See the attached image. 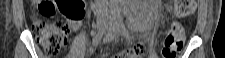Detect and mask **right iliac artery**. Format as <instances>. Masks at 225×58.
<instances>
[{"label": "right iliac artery", "instance_id": "right-iliac-artery-1", "mask_svg": "<svg viewBox=\"0 0 225 58\" xmlns=\"http://www.w3.org/2000/svg\"><path fill=\"white\" fill-rule=\"evenodd\" d=\"M102 36H103V32L94 36V38L92 40L91 52L93 51V48L96 47L100 43Z\"/></svg>", "mask_w": 225, "mask_h": 58}]
</instances>
